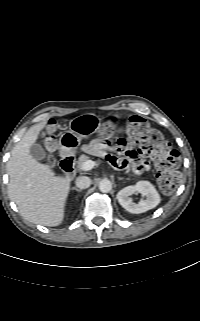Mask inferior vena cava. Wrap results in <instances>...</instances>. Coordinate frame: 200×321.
<instances>
[{"mask_svg":"<svg viewBox=\"0 0 200 321\" xmlns=\"http://www.w3.org/2000/svg\"><path fill=\"white\" fill-rule=\"evenodd\" d=\"M91 185V179L87 176H80L76 179V186L80 189H86Z\"/></svg>","mask_w":200,"mask_h":321,"instance_id":"obj_1","label":"inferior vena cava"}]
</instances>
